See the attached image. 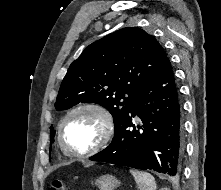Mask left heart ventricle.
Returning a JSON list of instances; mask_svg holds the SVG:
<instances>
[{"mask_svg":"<svg viewBox=\"0 0 221 190\" xmlns=\"http://www.w3.org/2000/svg\"><path fill=\"white\" fill-rule=\"evenodd\" d=\"M102 123L92 111H80L72 115L64 125L63 139L66 145L84 151L95 145L100 137Z\"/></svg>","mask_w":221,"mask_h":190,"instance_id":"b2bd125f","label":"left heart ventricle"}]
</instances>
